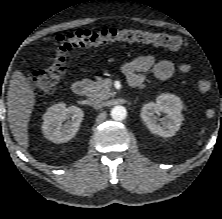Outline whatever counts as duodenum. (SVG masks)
Listing matches in <instances>:
<instances>
[{
    "instance_id": "410a0bca",
    "label": "duodenum",
    "mask_w": 222,
    "mask_h": 219,
    "mask_svg": "<svg viewBox=\"0 0 222 219\" xmlns=\"http://www.w3.org/2000/svg\"><path fill=\"white\" fill-rule=\"evenodd\" d=\"M72 92L77 96H83L87 92V84L84 81H75L72 85Z\"/></svg>"
}]
</instances>
